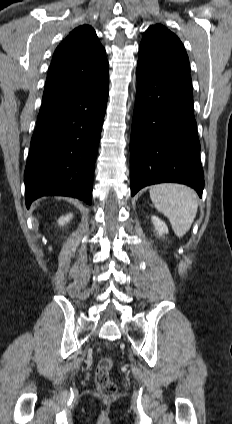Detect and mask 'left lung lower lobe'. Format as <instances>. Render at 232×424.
I'll use <instances>...</instances> for the list:
<instances>
[{
  "instance_id": "1",
  "label": "left lung lower lobe",
  "mask_w": 232,
  "mask_h": 424,
  "mask_svg": "<svg viewBox=\"0 0 232 424\" xmlns=\"http://www.w3.org/2000/svg\"><path fill=\"white\" fill-rule=\"evenodd\" d=\"M137 95L130 139L131 195L176 182L202 196L204 174L189 74L153 76L136 71Z\"/></svg>"
}]
</instances>
